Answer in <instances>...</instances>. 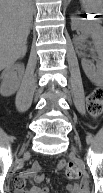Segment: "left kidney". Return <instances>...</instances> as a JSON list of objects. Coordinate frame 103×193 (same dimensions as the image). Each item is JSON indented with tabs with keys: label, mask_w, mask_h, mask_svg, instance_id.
Here are the masks:
<instances>
[{
	"label": "left kidney",
	"mask_w": 103,
	"mask_h": 193,
	"mask_svg": "<svg viewBox=\"0 0 103 193\" xmlns=\"http://www.w3.org/2000/svg\"><path fill=\"white\" fill-rule=\"evenodd\" d=\"M71 28L73 30L80 29L83 30L85 34H91L93 39V44L96 53L98 54L99 63L97 67L94 68L89 65L87 60H82V68L86 76L95 83L102 82L103 80V41L101 35L93 28L90 23L84 22L81 18L71 17Z\"/></svg>",
	"instance_id": "5707ae66"
}]
</instances>
